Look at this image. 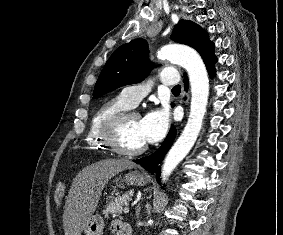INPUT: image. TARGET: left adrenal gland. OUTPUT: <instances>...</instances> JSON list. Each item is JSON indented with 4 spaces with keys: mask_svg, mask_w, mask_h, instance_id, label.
<instances>
[{
    "mask_svg": "<svg viewBox=\"0 0 283 235\" xmlns=\"http://www.w3.org/2000/svg\"><path fill=\"white\" fill-rule=\"evenodd\" d=\"M140 212V204L137 205L136 213L138 214Z\"/></svg>",
    "mask_w": 283,
    "mask_h": 235,
    "instance_id": "obj_1",
    "label": "left adrenal gland"
}]
</instances>
